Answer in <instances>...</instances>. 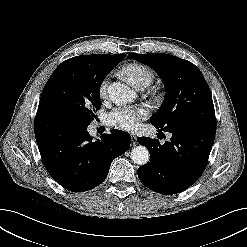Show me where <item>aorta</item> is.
Masks as SVG:
<instances>
[{"label": "aorta", "mask_w": 247, "mask_h": 247, "mask_svg": "<svg viewBox=\"0 0 247 247\" xmlns=\"http://www.w3.org/2000/svg\"><path fill=\"white\" fill-rule=\"evenodd\" d=\"M108 95L112 101L118 104H125L135 99L136 93L127 85L120 82H113L107 88ZM132 161L137 165H145L150 158L149 151L144 146H136L130 155Z\"/></svg>", "instance_id": "aorta-1"}]
</instances>
